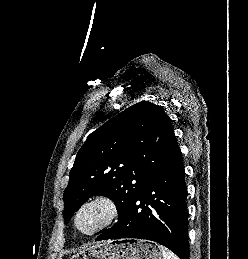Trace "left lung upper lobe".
Instances as JSON below:
<instances>
[{"mask_svg": "<svg viewBox=\"0 0 248 259\" xmlns=\"http://www.w3.org/2000/svg\"><path fill=\"white\" fill-rule=\"evenodd\" d=\"M179 149L161 106L139 102L91 133L79 150L64 191L67 224L90 196L104 195L119 218Z\"/></svg>", "mask_w": 248, "mask_h": 259, "instance_id": "obj_1", "label": "left lung upper lobe"}]
</instances>
